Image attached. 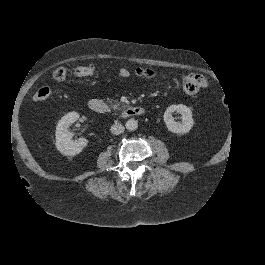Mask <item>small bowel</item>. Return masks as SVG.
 <instances>
[{
	"mask_svg": "<svg viewBox=\"0 0 265 265\" xmlns=\"http://www.w3.org/2000/svg\"><path fill=\"white\" fill-rule=\"evenodd\" d=\"M129 76V71L122 68L119 71V78L125 79ZM183 91L188 95H195L201 90L209 88V81L200 74H187L180 78Z\"/></svg>",
	"mask_w": 265,
	"mask_h": 265,
	"instance_id": "small-bowel-1",
	"label": "small bowel"
}]
</instances>
